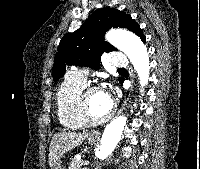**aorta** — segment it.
Listing matches in <instances>:
<instances>
[{"label": "aorta", "instance_id": "obj_1", "mask_svg": "<svg viewBox=\"0 0 200 169\" xmlns=\"http://www.w3.org/2000/svg\"><path fill=\"white\" fill-rule=\"evenodd\" d=\"M106 40L129 57L137 72L141 86L147 85L150 74V61L147 48L141 39L130 32L112 30L107 33ZM126 121L125 116H119L105 127L101 146L97 152V157L100 160H104L114 151L121 139Z\"/></svg>", "mask_w": 200, "mask_h": 169}]
</instances>
